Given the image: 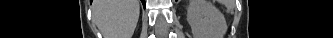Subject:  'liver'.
Returning <instances> with one entry per match:
<instances>
[{"instance_id": "liver-1", "label": "liver", "mask_w": 333, "mask_h": 38, "mask_svg": "<svg viewBox=\"0 0 333 38\" xmlns=\"http://www.w3.org/2000/svg\"><path fill=\"white\" fill-rule=\"evenodd\" d=\"M140 13L139 0H94L93 19L104 38H131Z\"/></svg>"}]
</instances>
